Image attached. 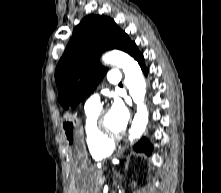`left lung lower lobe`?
Listing matches in <instances>:
<instances>
[{
    "label": "left lung lower lobe",
    "instance_id": "0a47b994",
    "mask_svg": "<svg viewBox=\"0 0 221 193\" xmlns=\"http://www.w3.org/2000/svg\"><path fill=\"white\" fill-rule=\"evenodd\" d=\"M128 54L132 56L136 61H138L143 73L145 76L147 75V69L144 65V57L143 55L139 52L136 44L134 43L130 50L128 51ZM134 150L137 152H145L146 154L150 155L152 152V146L149 143V141L144 137L142 138L136 145H134Z\"/></svg>",
    "mask_w": 221,
    "mask_h": 193
}]
</instances>
